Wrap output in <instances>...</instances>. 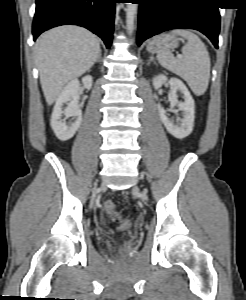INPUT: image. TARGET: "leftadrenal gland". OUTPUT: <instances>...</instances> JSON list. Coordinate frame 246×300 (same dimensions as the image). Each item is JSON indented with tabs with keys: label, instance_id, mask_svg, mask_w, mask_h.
I'll return each mask as SVG.
<instances>
[{
	"label": "left adrenal gland",
	"instance_id": "left-adrenal-gland-1",
	"mask_svg": "<svg viewBox=\"0 0 246 300\" xmlns=\"http://www.w3.org/2000/svg\"><path fill=\"white\" fill-rule=\"evenodd\" d=\"M151 62H154V63H156V62L154 61V58H153L152 56L150 57V59H149V61H148V63H147V64H148V65H150V63H151Z\"/></svg>",
	"mask_w": 246,
	"mask_h": 300
}]
</instances>
